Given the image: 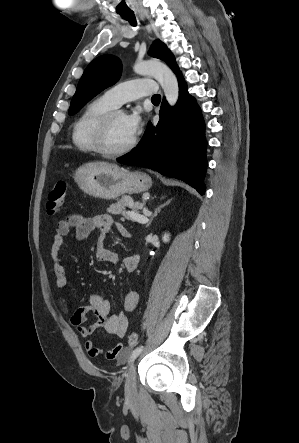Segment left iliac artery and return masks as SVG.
<instances>
[{
  "label": "left iliac artery",
  "mask_w": 299,
  "mask_h": 443,
  "mask_svg": "<svg viewBox=\"0 0 299 443\" xmlns=\"http://www.w3.org/2000/svg\"><path fill=\"white\" fill-rule=\"evenodd\" d=\"M145 325V324H144ZM143 350V346L137 347L130 356V362L133 361Z\"/></svg>",
  "instance_id": "1"
}]
</instances>
